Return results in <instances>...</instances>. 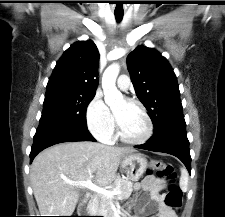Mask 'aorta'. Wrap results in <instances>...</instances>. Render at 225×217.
I'll use <instances>...</instances> for the list:
<instances>
[{
	"label": "aorta",
	"instance_id": "1",
	"mask_svg": "<svg viewBox=\"0 0 225 217\" xmlns=\"http://www.w3.org/2000/svg\"><path fill=\"white\" fill-rule=\"evenodd\" d=\"M120 72V66L113 63L106 68L102 76V88L104 92L105 103L114 107L123 101L122 93L116 87V79Z\"/></svg>",
	"mask_w": 225,
	"mask_h": 217
}]
</instances>
